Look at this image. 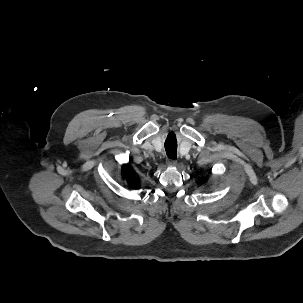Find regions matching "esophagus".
<instances>
[{"instance_id": "1", "label": "esophagus", "mask_w": 303, "mask_h": 303, "mask_svg": "<svg viewBox=\"0 0 303 303\" xmlns=\"http://www.w3.org/2000/svg\"><path fill=\"white\" fill-rule=\"evenodd\" d=\"M168 164L170 165V166H176L177 165V162H176V160L175 159H168Z\"/></svg>"}]
</instances>
